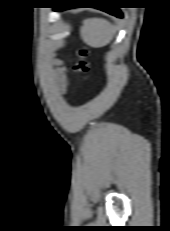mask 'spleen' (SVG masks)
<instances>
[{
	"mask_svg": "<svg viewBox=\"0 0 170 231\" xmlns=\"http://www.w3.org/2000/svg\"><path fill=\"white\" fill-rule=\"evenodd\" d=\"M114 35V26L105 19H86L81 27L83 41L94 48L107 45Z\"/></svg>",
	"mask_w": 170,
	"mask_h": 231,
	"instance_id": "spleen-1",
	"label": "spleen"
}]
</instances>
